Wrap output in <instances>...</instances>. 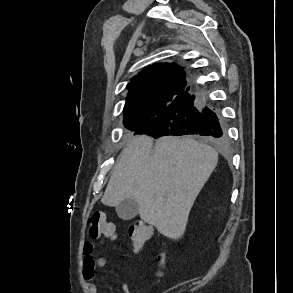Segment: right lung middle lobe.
I'll return each mask as SVG.
<instances>
[{
	"label": "right lung middle lobe",
	"instance_id": "1",
	"mask_svg": "<svg viewBox=\"0 0 293 293\" xmlns=\"http://www.w3.org/2000/svg\"><path fill=\"white\" fill-rule=\"evenodd\" d=\"M154 117V111H151L149 108L145 107L139 110L125 112L124 125L127 129L136 131Z\"/></svg>",
	"mask_w": 293,
	"mask_h": 293
}]
</instances>
